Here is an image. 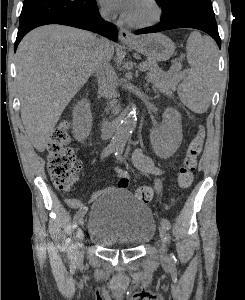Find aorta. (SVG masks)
Segmentation results:
<instances>
[{
  "mask_svg": "<svg viewBox=\"0 0 245 300\" xmlns=\"http://www.w3.org/2000/svg\"><path fill=\"white\" fill-rule=\"evenodd\" d=\"M136 120L135 109H129L111 140V147L113 149L122 150L124 148L130 134L136 127Z\"/></svg>",
  "mask_w": 245,
  "mask_h": 300,
  "instance_id": "1",
  "label": "aorta"
}]
</instances>
